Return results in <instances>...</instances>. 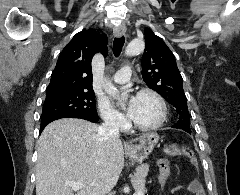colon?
Wrapping results in <instances>:
<instances>
[{
    "mask_svg": "<svg viewBox=\"0 0 240 195\" xmlns=\"http://www.w3.org/2000/svg\"><path fill=\"white\" fill-rule=\"evenodd\" d=\"M177 149L178 147L175 145H169L168 147H162V165L158 166V182L162 183L167 181V176H171V172H173V159L177 158ZM186 154V159H189L191 164L194 167L198 166L197 158L195 154L189 151L186 147H184ZM162 172V173H161ZM192 192L194 195H204L201 186L198 183L192 184Z\"/></svg>",
    "mask_w": 240,
    "mask_h": 195,
    "instance_id": "colon-1",
    "label": "colon"
}]
</instances>
